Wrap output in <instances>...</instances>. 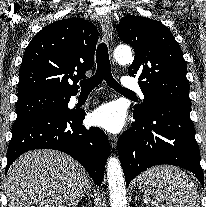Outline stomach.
I'll use <instances>...</instances> for the list:
<instances>
[{
    "label": "stomach",
    "mask_w": 206,
    "mask_h": 207,
    "mask_svg": "<svg viewBox=\"0 0 206 207\" xmlns=\"http://www.w3.org/2000/svg\"><path fill=\"white\" fill-rule=\"evenodd\" d=\"M137 184H138V186H139L141 189H143L138 181H137Z\"/></svg>",
    "instance_id": "stomach-1"
}]
</instances>
